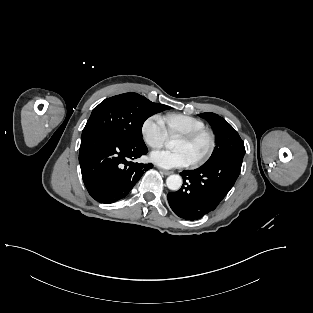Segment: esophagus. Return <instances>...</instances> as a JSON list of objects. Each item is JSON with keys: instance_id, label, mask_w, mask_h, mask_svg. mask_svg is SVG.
<instances>
[{"instance_id": "esophagus-1", "label": "esophagus", "mask_w": 313, "mask_h": 313, "mask_svg": "<svg viewBox=\"0 0 313 313\" xmlns=\"http://www.w3.org/2000/svg\"><path fill=\"white\" fill-rule=\"evenodd\" d=\"M160 172L164 175H170L172 174V171H168V170H163V169H160Z\"/></svg>"}]
</instances>
